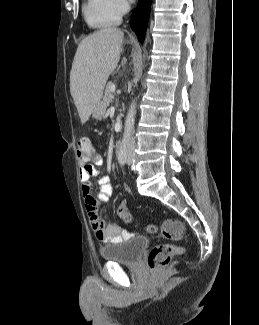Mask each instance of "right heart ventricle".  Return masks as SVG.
I'll list each match as a JSON object with an SVG mask.
<instances>
[{
    "label": "right heart ventricle",
    "mask_w": 259,
    "mask_h": 325,
    "mask_svg": "<svg viewBox=\"0 0 259 325\" xmlns=\"http://www.w3.org/2000/svg\"><path fill=\"white\" fill-rule=\"evenodd\" d=\"M82 10L87 25L94 29L115 26L120 21V16L111 9L109 0H86Z\"/></svg>",
    "instance_id": "1"
}]
</instances>
